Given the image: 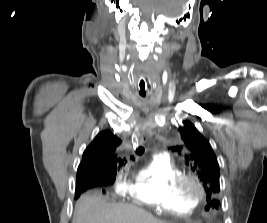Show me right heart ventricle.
<instances>
[{
	"mask_svg": "<svg viewBox=\"0 0 267 223\" xmlns=\"http://www.w3.org/2000/svg\"><path fill=\"white\" fill-rule=\"evenodd\" d=\"M184 174L169 157L158 155L135 174L123 193L134 205L159 212L189 214L196 203L180 196L174 188L175 181Z\"/></svg>",
	"mask_w": 267,
	"mask_h": 223,
	"instance_id": "right-heart-ventricle-1",
	"label": "right heart ventricle"
}]
</instances>
